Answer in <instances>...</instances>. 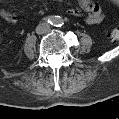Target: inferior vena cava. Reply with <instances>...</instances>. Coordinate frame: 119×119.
Masks as SVG:
<instances>
[{
    "label": "inferior vena cava",
    "mask_w": 119,
    "mask_h": 119,
    "mask_svg": "<svg viewBox=\"0 0 119 119\" xmlns=\"http://www.w3.org/2000/svg\"><path fill=\"white\" fill-rule=\"evenodd\" d=\"M50 25L48 23H41L36 27V33L37 34H45L49 32Z\"/></svg>",
    "instance_id": "inferior-vena-cava-1"
}]
</instances>
